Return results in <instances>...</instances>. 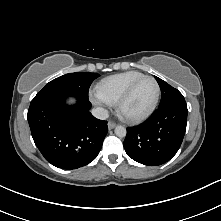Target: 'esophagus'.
I'll list each match as a JSON object with an SVG mask.
<instances>
[{"instance_id": "obj_1", "label": "esophagus", "mask_w": 221, "mask_h": 221, "mask_svg": "<svg viewBox=\"0 0 221 221\" xmlns=\"http://www.w3.org/2000/svg\"><path fill=\"white\" fill-rule=\"evenodd\" d=\"M115 126H116V123H114V122H112V121H109V122H108V128H109V129H113Z\"/></svg>"}]
</instances>
